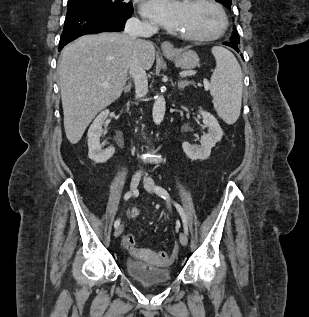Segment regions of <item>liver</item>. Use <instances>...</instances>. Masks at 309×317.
Wrapping results in <instances>:
<instances>
[{
    "instance_id": "liver-1",
    "label": "liver",
    "mask_w": 309,
    "mask_h": 317,
    "mask_svg": "<svg viewBox=\"0 0 309 317\" xmlns=\"http://www.w3.org/2000/svg\"><path fill=\"white\" fill-rule=\"evenodd\" d=\"M133 52L129 36L116 32L85 35L63 49L58 74L64 129L71 144L78 143L94 117L120 97ZM140 52L149 70L154 45L143 40Z\"/></svg>"
}]
</instances>
